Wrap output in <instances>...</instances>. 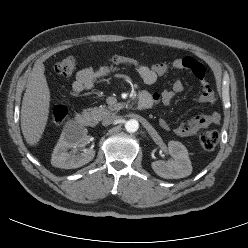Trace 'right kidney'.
<instances>
[{
  "mask_svg": "<svg viewBox=\"0 0 248 248\" xmlns=\"http://www.w3.org/2000/svg\"><path fill=\"white\" fill-rule=\"evenodd\" d=\"M87 129L78 127L65 129L54 148L51 164L58 168L73 169L89 163L95 156L94 150H84L80 154L68 153L70 148L83 147L86 144Z\"/></svg>",
  "mask_w": 248,
  "mask_h": 248,
  "instance_id": "1",
  "label": "right kidney"
}]
</instances>
